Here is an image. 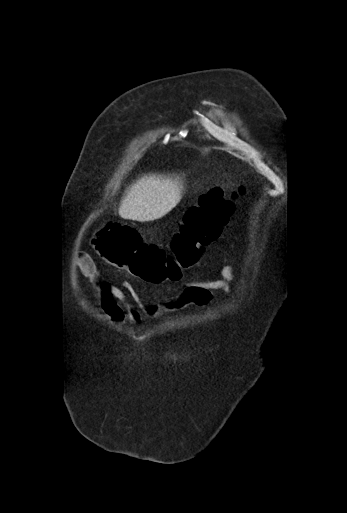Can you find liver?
Returning a JSON list of instances; mask_svg holds the SVG:
<instances>
[{"instance_id": "6515ba94", "label": "liver", "mask_w": 347, "mask_h": 513, "mask_svg": "<svg viewBox=\"0 0 347 513\" xmlns=\"http://www.w3.org/2000/svg\"><path fill=\"white\" fill-rule=\"evenodd\" d=\"M178 180L161 176H144L132 185L121 201L123 219L157 217L167 213L181 198Z\"/></svg>"}]
</instances>
